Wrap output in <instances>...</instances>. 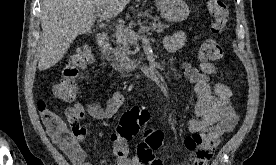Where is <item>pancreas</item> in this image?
<instances>
[{
	"label": "pancreas",
	"instance_id": "cf45deb5",
	"mask_svg": "<svg viewBox=\"0 0 276 165\" xmlns=\"http://www.w3.org/2000/svg\"><path fill=\"white\" fill-rule=\"evenodd\" d=\"M150 19L152 20L149 22L151 30L161 33L165 28H168V25L162 23L159 17H150ZM147 23L148 20L144 22H141L140 19L137 22L131 21L125 30H131L136 25H145ZM115 38L116 47L106 53L107 60L111 61V66L117 71L133 70L135 68V61L131 59V56L134 53L130 51V45L133 40L117 33L115 34Z\"/></svg>",
	"mask_w": 276,
	"mask_h": 165
}]
</instances>
